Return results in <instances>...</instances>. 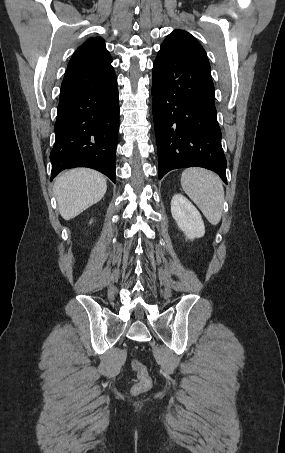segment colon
<instances>
[{
	"label": "colon",
	"mask_w": 285,
	"mask_h": 453,
	"mask_svg": "<svg viewBox=\"0 0 285 453\" xmlns=\"http://www.w3.org/2000/svg\"><path fill=\"white\" fill-rule=\"evenodd\" d=\"M131 366L137 375V381L132 387V392L140 394L147 391L151 387L152 380L146 366L138 360H133Z\"/></svg>",
	"instance_id": "obj_1"
}]
</instances>
